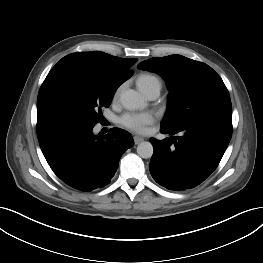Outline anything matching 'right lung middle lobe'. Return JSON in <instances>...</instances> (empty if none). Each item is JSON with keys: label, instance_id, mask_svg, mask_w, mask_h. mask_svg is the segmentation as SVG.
Masks as SVG:
<instances>
[{"label": "right lung middle lobe", "instance_id": "1", "mask_svg": "<svg viewBox=\"0 0 263 263\" xmlns=\"http://www.w3.org/2000/svg\"><path fill=\"white\" fill-rule=\"evenodd\" d=\"M123 76L80 63H57L37 98V130L54 125L94 126Z\"/></svg>", "mask_w": 263, "mask_h": 263}]
</instances>
